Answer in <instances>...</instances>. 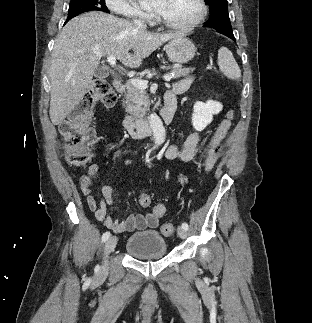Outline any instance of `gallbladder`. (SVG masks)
Returning <instances> with one entry per match:
<instances>
[{"mask_svg": "<svg viewBox=\"0 0 312 323\" xmlns=\"http://www.w3.org/2000/svg\"><path fill=\"white\" fill-rule=\"evenodd\" d=\"M95 78H108L109 76V70H106V68H102V66H98L94 72Z\"/></svg>", "mask_w": 312, "mask_h": 323, "instance_id": "obj_1", "label": "gallbladder"}]
</instances>
